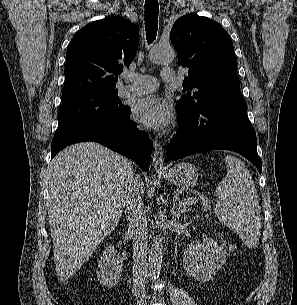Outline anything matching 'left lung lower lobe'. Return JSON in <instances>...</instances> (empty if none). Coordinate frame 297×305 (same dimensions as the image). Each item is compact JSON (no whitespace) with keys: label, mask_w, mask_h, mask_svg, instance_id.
<instances>
[{"label":"left lung lower lobe","mask_w":297,"mask_h":305,"mask_svg":"<svg viewBox=\"0 0 297 305\" xmlns=\"http://www.w3.org/2000/svg\"><path fill=\"white\" fill-rule=\"evenodd\" d=\"M179 128L166 148L167 158L175 161L190 154L225 149L251 161L261 174L256 133L248 116L240 89L206 101L196 110L176 107Z\"/></svg>","instance_id":"1"}]
</instances>
